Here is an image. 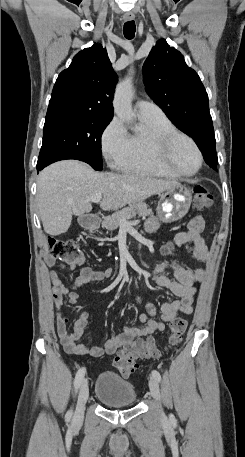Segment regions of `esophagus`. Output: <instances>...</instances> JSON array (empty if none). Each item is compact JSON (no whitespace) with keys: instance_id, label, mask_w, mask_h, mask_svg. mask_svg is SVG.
<instances>
[{"instance_id":"34e87169","label":"esophagus","mask_w":245,"mask_h":457,"mask_svg":"<svg viewBox=\"0 0 245 457\" xmlns=\"http://www.w3.org/2000/svg\"><path fill=\"white\" fill-rule=\"evenodd\" d=\"M135 16L134 13H125L123 19L127 22L129 20H134Z\"/></svg>"}]
</instances>
